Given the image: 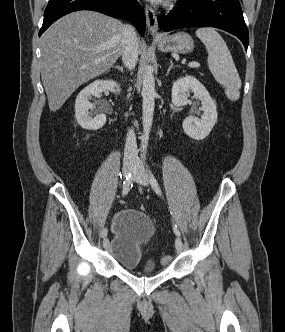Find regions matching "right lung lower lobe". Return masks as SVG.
<instances>
[{"label": "right lung lower lobe", "instance_id": "right-lung-lower-lobe-1", "mask_svg": "<svg viewBox=\"0 0 285 332\" xmlns=\"http://www.w3.org/2000/svg\"><path fill=\"white\" fill-rule=\"evenodd\" d=\"M78 10H92L114 18L128 19L141 35L146 18L140 4L134 0H49L39 36L60 17Z\"/></svg>", "mask_w": 285, "mask_h": 332}]
</instances>
